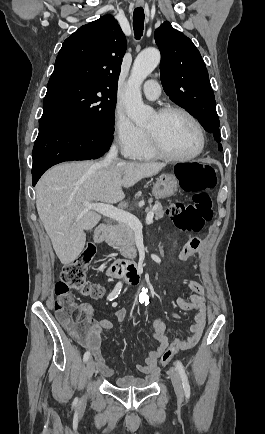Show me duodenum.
<instances>
[{"label":"duodenum","instance_id":"410a0bca","mask_svg":"<svg viewBox=\"0 0 265 434\" xmlns=\"http://www.w3.org/2000/svg\"><path fill=\"white\" fill-rule=\"evenodd\" d=\"M116 228L109 224L99 225L93 235L94 242L101 243L105 237L113 234ZM106 272L130 284H139L143 280L140 265L124 260H115L106 268Z\"/></svg>","mask_w":265,"mask_h":434}]
</instances>
